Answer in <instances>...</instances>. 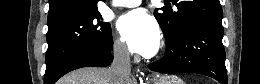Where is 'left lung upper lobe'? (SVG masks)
<instances>
[{
    "label": "left lung upper lobe",
    "instance_id": "left-lung-upper-lobe-1",
    "mask_svg": "<svg viewBox=\"0 0 260 84\" xmlns=\"http://www.w3.org/2000/svg\"><path fill=\"white\" fill-rule=\"evenodd\" d=\"M172 3L177 6V11L171 7H162L154 12L168 41L174 39L183 26L193 19H222L223 16L219 0H172Z\"/></svg>",
    "mask_w": 260,
    "mask_h": 84
}]
</instances>
